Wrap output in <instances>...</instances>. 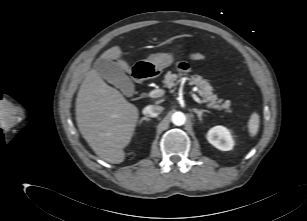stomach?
I'll list each match as a JSON object with an SVG mask.
<instances>
[{
    "label": "stomach",
    "mask_w": 307,
    "mask_h": 221,
    "mask_svg": "<svg viewBox=\"0 0 307 221\" xmlns=\"http://www.w3.org/2000/svg\"><path fill=\"white\" fill-rule=\"evenodd\" d=\"M182 48V46H179ZM174 61L173 53H156L145 60H139L135 68H144V77H156L163 69L169 67Z\"/></svg>",
    "instance_id": "0dacf381"
}]
</instances>
